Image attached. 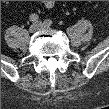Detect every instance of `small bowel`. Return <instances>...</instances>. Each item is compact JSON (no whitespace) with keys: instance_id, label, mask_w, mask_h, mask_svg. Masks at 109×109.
Returning a JSON list of instances; mask_svg holds the SVG:
<instances>
[{"instance_id":"obj_1","label":"small bowel","mask_w":109,"mask_h":109,"mask_svg":"<svg viewBox=\"0 0 109 109\" xmlns=\"http://www.w3.org/2000/svg\"><path fill=\"white\" fill-rule=\"evenodd\" d=\"M55 2L54 1H44V5L47 8H52L54 6Z\"/></svg>"}]
</instances>
